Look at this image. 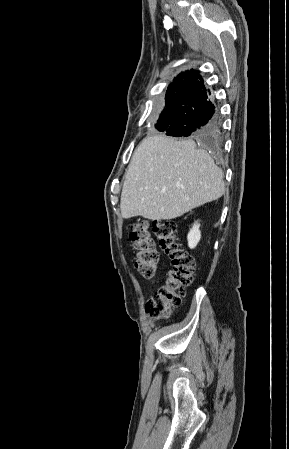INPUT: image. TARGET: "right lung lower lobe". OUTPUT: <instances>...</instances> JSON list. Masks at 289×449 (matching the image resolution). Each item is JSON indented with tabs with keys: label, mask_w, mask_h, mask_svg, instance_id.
<instances>
[{
	"label": "right lung lower lobe",
	"mask_w": 289,
	"mask_h": 449,
	"mask_svg": "<svg viewBox=\"0 0 289 449\" xmlns=\"http://www.w3.org/2000/svg\"><path fill=\"white\" fill-rule=\"evenodd\" d=\"M172 112L164 133L169 136H210L219 128V118L203 80L183 76L167 90Z\"/></svg>",
	"instance_id": "right-lung-lower-lobe-1"
}]
</instances>
